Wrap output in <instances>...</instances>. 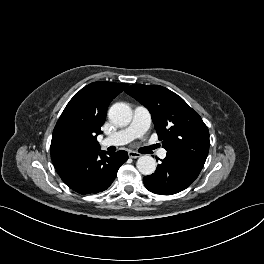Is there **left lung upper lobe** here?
<instances>
[{
    "label": "left lung upper lobe",
    "instance_id": "5c2ea615",
    "mask_svg": "<svg viewBox=\"0 0 264 264\" xmlns=\"http://www.w3.org/2000/svg\"><path fill=\"white\" fill-rule=\"evenodd\" d=\"M125 92L150 111L167 152L185 153L206 161L209 131L198 113L180 96L159 85L134 84Z\"/></svg>",
    "mask_w": 264,
    "mask_h": 264
}]
</instances>
